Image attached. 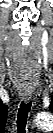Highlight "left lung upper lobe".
Listing matches in <instances>:
<instances>
[{
	"label": "left lung upper lobe",
	"mask_w": 53,
	"mask_h": 133,
	"mask_svg": "<svg viewBox=\"0 0 53 133\" xmlns=\"http://www.w3.org/2000/svg\"><path fill=\"white\" fill-rule=\"evenodd\" d=\"M52 108H53V105H50L49 106V109L53 112Z\"/></svg>",
	"instance_id": "1"
}]
</instances>
